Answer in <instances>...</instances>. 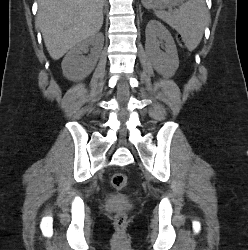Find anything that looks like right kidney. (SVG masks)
Segmentation results:
<instances>
[{"label":"right kidney","instance_id":"1","mask_svg":"<svg viewBox=\"0 0 248 250\" xmlns=\"http://www.w3.org/2000/svg\"><path fill=\"white\" fill-rule=\"evenodd\" d=\"M104 44V35L97 33L76 44L64 57L61 67L63 75L71 81H79L86 78L95 68L101 55ZM91 48V54L84 57L82 52Z\"/></svg>","mask_w":248,"mask_h":250}]
</instances>
